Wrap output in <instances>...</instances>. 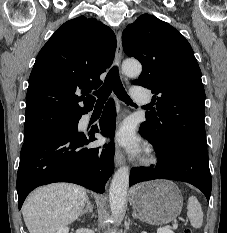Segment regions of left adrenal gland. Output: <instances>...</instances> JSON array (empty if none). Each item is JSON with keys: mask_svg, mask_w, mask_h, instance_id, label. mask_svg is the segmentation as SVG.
<instances>
[{"mask_svg": "<svg viewBox=\"0 0 227 233\" xmlns=\"http://www.w3.org/2000/svg\"><path fill=\"white\" fill-rule=\"evenodd\" d=\"M132 216H133V218H134V219H140V218H139V216L137 215V213H136V210H135V209H133Z\"/></svg>", "mask_w": 227, "mask_h": 233, "instance_id": "left-adrenal-gland-1", "label": "left adrenal gland"}]
</instances>
